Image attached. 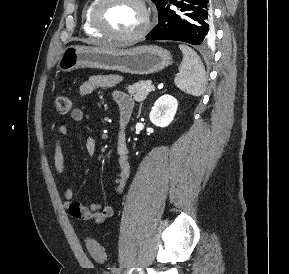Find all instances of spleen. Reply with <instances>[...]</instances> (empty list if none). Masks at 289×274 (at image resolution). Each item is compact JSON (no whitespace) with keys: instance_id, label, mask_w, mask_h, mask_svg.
Instances as JSON below:
<instances>
[{"instance_id":"1","label":"spleen","mask_w":289,"mask_h":274,"mask_svg":"<svg viewBox=\"0 0 289 274\" xmlns=\"http://www.w3.org/2000/svg\"><path fill=\"white\" fill-rule=\"evenodd\" d=\"M183 60L179 73L175 77V85L182 91L200 96L205 89V69L198 54L186 45H179Z\"/></svg>"}]
</instances>
